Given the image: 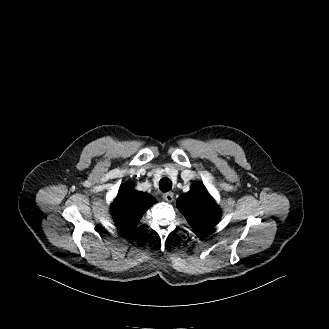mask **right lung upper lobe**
I'll return each mask as SVG.
<instances>
[{
  "label": "right lung upper lobe",
  "instance_id": "1",
  "mask_svg": "<svg viewBox=\"0 0 329 329\" xmlns=\"http://www.w3.org/2000/svg\"><path fill=\"white\" fill-rule=\"evenodd\" d=\"M155 199L143 192L133 190L132 183L122 185L111 205L113 218L119 232H131Z\"/></svg>",
  "mask_w": 329,
  "mask_h": 329
}]
</instances>
